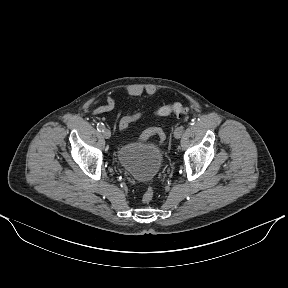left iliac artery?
<instances>
[{"mask_svg":"<svg viewBox=\"0 0 288 288\" xmlns=\"http://www.w3.org/2000/svg\"><path fill=\"white\" fill-rule=\"evenodd\" d=\"M179 129L184 130L185 129L184 124H179Z\"/></svg>","mask_w":288,"mask_h":288,"instance_id":"1","label":"left iliac artery"}]
</instances>
